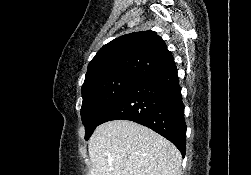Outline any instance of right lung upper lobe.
I'll return each mask as SVG.
<instances>
[{
	"mask_svg": "<svg viewBox=\"0 0 251 175\" xmlns=\"http://www.w3.org/2000/svg\"><path fill=\"white\" fill-rule=\"evenodd\" d=\"M174 67L172 54L156 32H134L112 40L97 52L88 65L83 86L121 75L144 79Z\"/></svg>",
	"mask_w": 251,
	"mask_h": 175,
	"instance_id": "cb5924a9",
	"label": "right lung upper lobe"
}]
</instances>
